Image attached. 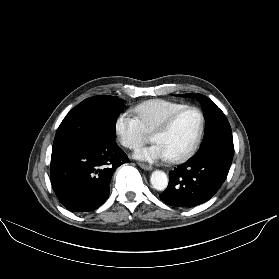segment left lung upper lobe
<instances>
[{"instance_id":"obj_1","label":"left lung upper lobe","mask_w":279,"mask_h":279,"mask_svg":"<svg viewBox=\"0 0 279 279\" xmlns=\"http://www.w3.org/2000/svg\"><path fill=\"white\" fill-rule=\"evenodd\" d=\"M182 96H188V94ZM197 97L202 104L206 120L204 138L197 154L216 148L233 155L232 131L226 116L208 97L199 93Z\"/></svg>"}]
</instances>
